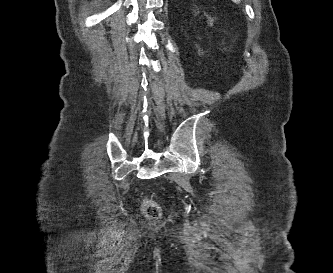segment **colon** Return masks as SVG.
I'll return each mask as SVG.
<instances>
[{
    "instance_id": "obj_1",
    "label": "colon",
    "mask_w": 333,
    "mask_h": 273,
    "mask_svg": "<svg viewBox=\"0 0 333 273\" xmlns=\"http://www.w3.org/2000/svg\"><path fill=\"white\" fill-rule=\"evenodd\" d=\"M144 213L150 218H158L160 215V207L153 201H146L143 206Z\"/></svg>"
}]
</instances>
